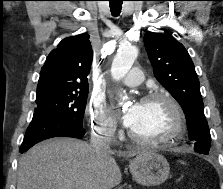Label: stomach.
<instances>
[{
    "mask_svg": "<svg viewBox=\"0 0 223 189\" xmlns=\"http://www.w3.org/2000/svg\"><path fill=\"white\" fill-rule=\"evenodd\" d=\"M130 172L135 181L143 186H156L165 182L170 167L167 160L152 151H142L130 161Z\"/></svg>",
    "mask_w": 223,
    "mask_h": 189,
    "instance_id": "0dacf381",
    "label": "stomach"
}]
</instances>
